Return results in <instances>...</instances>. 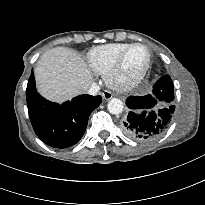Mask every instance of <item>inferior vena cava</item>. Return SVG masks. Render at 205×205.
Wrapping results in <instances>:
<instances>
[{"instance_id":"1","label":"inferior vena cava","mask_w":205,"mask_h":205,"mask_svg":"<svg viewBox=\"0 0 205 205\" xmlns=\"http://www.w3.org/2000/svg\"><path fill=\"white\" fill-rule=\"evenodd\" d=\"M99 89H100L99 85H97L95 82H93V83L90 85V87H89L87 93H88L89 95L95 96V95H97Z\"/></svg>"}]
</instances>
